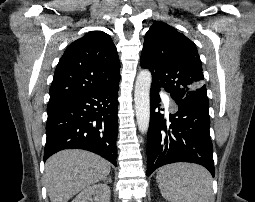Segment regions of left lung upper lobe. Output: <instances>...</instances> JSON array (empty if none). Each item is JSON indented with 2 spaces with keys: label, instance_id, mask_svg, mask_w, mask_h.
Masks as SVG:
<instances>
[{
  "label": "left lung upper lobe",
  "instance_id": "5c2ea615",
  "mask_svg": "<svg viewBox=\"0 0 255 202\" xmlns=\"http://www.w3.org/2000/svg\"><path fill=\"white\" fill-rule=\"evenodd\" d=\"M140 64L152 73L151 88H164L174 100L209 107L195 44L163 22H154L145 35Z\"/></svg>",
  "mask_w": 255,
  "mask_h": 202
}]
</instances>
